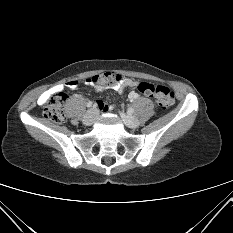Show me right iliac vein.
<instances>
[{"label": "right iliac vein", "instance_id": "1", "mask_svg": "<svg viewBox=\"0 0 233 233\" xmlns=\"http://www.w3.org/2000/svg\"><path fill=\"white\" fill-rule=\"evenodd\" d=\"M97 114H98L97 109L93 108V109L88 110L83 117V120H82L83 124L87 126L93 124L97 117Z\"/></svg>", "mask_w": 233, "mask_h": 233}]
</instances>
